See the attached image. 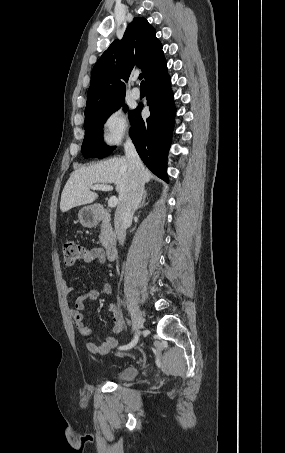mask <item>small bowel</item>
<instances>
[{
  "mask_svg": "<svg viewBox=\"0 0 285 453\" xmlns=\"http://www.w3.org/2000/svg\"><path fill=\"white\" fill-rule=\"evenodd\" d=\"M81 259L85 262H91L97 260L101 264L105 263V252L101 248H87L83 249ZM65 291L67 294H70L73 291V287L67 285L65 287ZM111 291V287L108 283H104L102 290L91 289L86 294L81 295L76 298L74 308L71 310V317L73 320L75 330L83 336V344L87 351L93 354L98 355H106L112 349L117 346V339L114 336L107 337L103 342L100 344H96L90 340V336L92 334L91 329L84 321L83 310L85 308V301H96L102 295L109 294ZM109 313L111 314L113 326H112V333L119 334L124 329V319L123 316L118 309V307L114 303L108 304L107 307Z\"/></svg>",
  "mask_w": 285,
  "mask_h": 453,
  "instance_id": "c3829d8e",
  "label": "small bowel"
}]
</instances>
